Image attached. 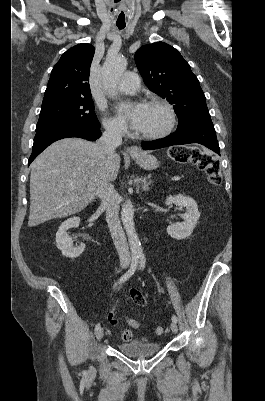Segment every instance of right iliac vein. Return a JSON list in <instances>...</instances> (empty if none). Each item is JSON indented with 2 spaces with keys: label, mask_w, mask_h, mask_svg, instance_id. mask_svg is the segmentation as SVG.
<instances>
[{
  "label": "right iliac vein",
  "mask_w": 265,
  "mask_h": 401,
  "mask_svg": "<svg viewBox=\"0 0 265 401\" xmlns=\"http://www.w3.org/2000/svg\"><path fill=\"white\" fill-rule=\"evenodd\" d=\"M121 267H122V268H126V267H127V264H122ZM103 335H104V330H103V328H100V329L96 332V339H97L98 341H100V340L103 338ZM92 370H93V368L90 369V371H92Z\"/></svg>",
  "instance_id": "1"
}]
</instances>
